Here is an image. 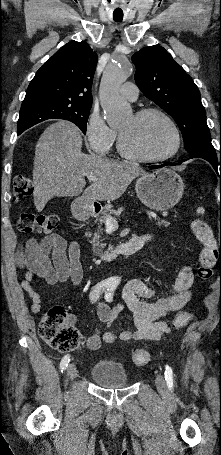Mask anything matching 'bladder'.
<instances>
[{"mask_svg": "<svg viewBox=\"0 0 221 455\" xmlns=\"http://www.w3.org/2000/svg\"><path fill=\"white\" fill-rule=\"evenodd\" d=\"M91 378L104 387H123L128 384L124 367L117 363L100 361L90 369Z\"/></svg>", "mask_w": 221, "mask_h": 455, "instance_id": "1", "label": "bladder"}]
</instances>
